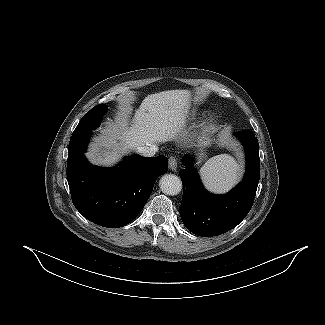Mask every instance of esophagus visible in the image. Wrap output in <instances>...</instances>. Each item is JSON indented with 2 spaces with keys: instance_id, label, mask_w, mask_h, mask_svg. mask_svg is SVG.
Segmentation results:
<instances>
[{
  "instance_id": "obj_1",
  "label": "esophagus",
  "mask_w": 325,
  "mask_h": 325,
  "mask_svg": "<svg viewBox=\"0 0 325 325\" xmlns=\"http://www.w3.org/2000/svg\"><path fill=\"white\" fill-rule=\"evenodd\" d=\"M177 159L174 156H171L169 158V169L172 171H176L177 170Z\"/></svg>"
}]
</instances>
